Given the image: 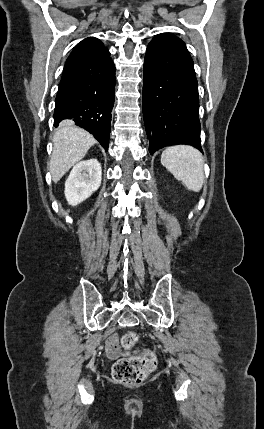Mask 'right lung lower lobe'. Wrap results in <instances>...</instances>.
Wrapping results in <instances>:
<instances>
[{
    "label": "right lung lower lobe",
    "instance_id": "98d812e1",
    "mask_svg": "<svg viewBox=\"0 0 264 429\" xmlns=\"http://www.w3.org/2000/svg\"><path fill=\"white\" fill-rule=\"evenodd\" d=\"M115 66L106 49L63 72L55 100L54 126L65 119L84 128L107 151L114 105Z\"/></svg>",
    "mask_w": 264,
    "mask_h": 429
}]
</instances>
